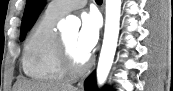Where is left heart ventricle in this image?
I'll list each match as a JSON object with an SVG mask.
<instances>
[{
    "instance_id": "b2bd125f",
    "label": "left heart ventricle",
    "mask_w": 173,
    "mask_h": 91,
    "mask_svg": "<svg viewBox=\"0 0 173 91\" xmlns=\"http://www.w3.org/2000/svg\"><path fill=\"white\" fill-rule=\"evenodd\" d=\"M77 36V31H73L66 33L63 37L76 60L82 62L86 59V57L83 56L77 49Z\"/></svg>"
}]
</instances>
